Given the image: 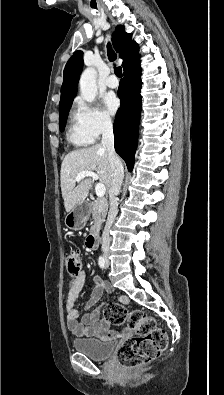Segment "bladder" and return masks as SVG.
I'll list each match as a JSON object with an SVG mask.
<instances>
[{"label":"bladder","mask_w":224,"mask_h":395,"mask_svg":"<svg viewBox=\"0 0 224 395\" xmlns=\"http://www.w3.org/2000/svg\"><path fill=\"white\" fill-rule=\"evenodd\" d=\"M74 349L92 360L101 361L109 358L114 349L113 341L94 338H76L72 342Z\"/></svg>","instance_id":"bladder-1"}]
</instances>
